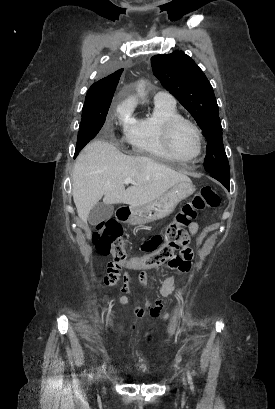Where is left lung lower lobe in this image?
Masks as SVG:
<instances>
[{
	"label": "left lung lower lobe",
	"instance_id": "obj_1",
	"mask_svg": "<svg viewBox=\"0 0 275 409\" xmlns=\"http://www.w3.org/2000/svg\"><path fill=\"white\" fill-rule=\"evenodd\" d=\"M213 178L217 179L220 181L228 190H230L229 183H230V178H225L223 176L217 175V174H210Z\"/></svg>",
	"mask_w": 275,
	"mask_h": 409
}]
</instances>
